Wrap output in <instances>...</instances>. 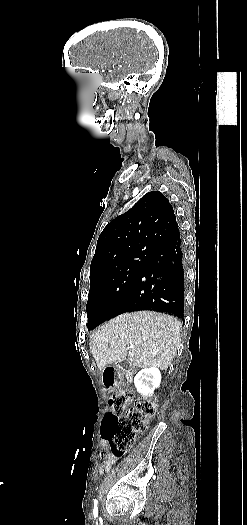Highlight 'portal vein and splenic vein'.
Listing matches in <instances>:
<instances>
[{
	"mask_svg": "<svg viewBox=\"0 0 247 525\" xmlns=\"http://www.w3.org/2000/svg\"><path fill=\"white\" fill-rule=\"evenodd\" d=\"M130 349H133V343H130Z\"/></svg>",
	"mask_w": 247,
	"mask_h": 525,
	"instance_id": "1",
	"label": "portal vein and splenic vein"
}]
</instances>
